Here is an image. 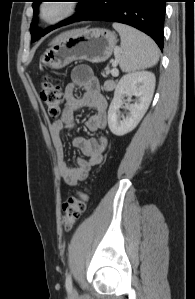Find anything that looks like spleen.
Instances as JSON below:
<instances>
[{
  "mask_svg": "<svg viewBox=\"0 0 195 299\" xmlns=\"http://www.w3.org/2000/svg\"><path fill=\"white\" fill-rule=\"evenodd\" d=\"M121 38L119 52L120 68L123 72L150 68L159 60V48L144 33L125 24L113 23Z\"/></svg>",
  "mask_w": 195,
  "mask_h": 299,
  "instance_id": "spleen-1",
  "label": "spleen"
}]
</instances>
